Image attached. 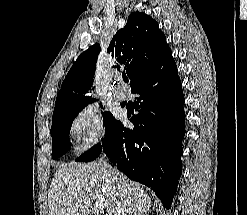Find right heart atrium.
Wrapping results in <instances>:
<instances>
[{
    "label": "right heart atrium",
    "mask_w": 247,
    "mask_h": 215,
    "mask_svg": "<svg viewBox=\"0 0 247 215\" xmlns=\"http://www.w3.org/2000/svg\"><path fill=\"white\" fill-rule=\"evenodd\" d=\"M69 131L79 152H86L99 143L105 134V121L94 106L81 108L71 121Z\"/></svg>",
    "instance_id": "d8ad5b80"
}]
</instances>
